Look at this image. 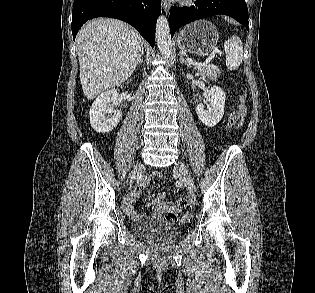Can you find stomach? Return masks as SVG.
Returning a JSON list of instances; mask_svg holds the SVG:
<instances>
[{"label": "stomach", "mask_w": 315, "mask_h": 293, "mask_svg": "<svg viewBox=\"0 0 315 293\" xmlns=\"http://www.w3.org/2000/svg\"><path fill=\"white\" fill-rule=\"evenodd\" d=\"M219 39L217 28L206 20L185 26L177 36L178 47L186 52L206 56L213 52Z\"/></svg>", "instance_id": "obj_1"}]
</instances>
